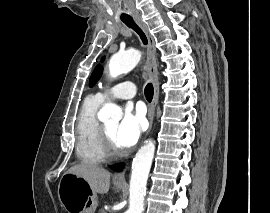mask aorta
I'll list each match as a JSON object with an SVG mask.
<instances>
[{"label": "aorta", "instance_id": "1", "mask_svg": "<svg viewBox=\"0 0 270 213\" xmlns=\"http://www.w3.org/2000/svg\"><path fill=\"white\" fill-rule=\"evenodd\" d=\"M141 52L130 49L114 54L109 61V75L116 78L131 71L140 61ZM101 121L114 119L119 121L122 118L121 109L113 104L107 103L98 113ZM155 153V143L147 141L136 153L132 162L130 178L129 209L127 213H142L144 207V197L146 194V184Z\"/></svg>", "mask_w": 270, "mask_h": 213}]
</instances>
